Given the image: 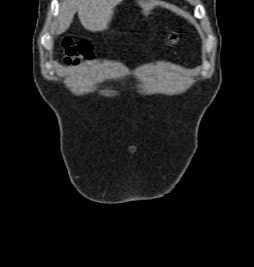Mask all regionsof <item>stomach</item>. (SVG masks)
<instances>
[{
    "label": "stomach",
    "mask_w": 254,
    "mask_h": 267,
    "mask_svg": "<svg viewBox=\"0 0 254 267\" xmlns=\"http://www.w3.org/2000/svg\"><path fill=\"white\" fill-rule=\"evenodd\" d=\"M153 8L154 7L152 4H146L142 7V13L147 16L151 14V11L153 10Z\"/></svg>",
    "instance_id": "0dacf381"
}]
</instances>
